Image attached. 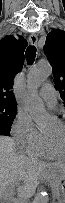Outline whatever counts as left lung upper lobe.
I'll return each instance as SVG.
<instances>
[{"label": "left lung upper lobe", "mask_w": 65, "mask_h": 203, "mask_svg": "<svg viewBox=\"0 0 65 203\" xmlns=\"http://www.w3.org/2000/svg\"><path fill=\"white\" fill-rule=\"evenodd\" d=\"M44 53L53 67L55 88L65 102V32L52 31L47 35Z\"/></svg>", "instance_id": "5c2ea615"}]
</instances>
